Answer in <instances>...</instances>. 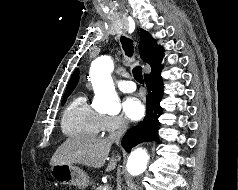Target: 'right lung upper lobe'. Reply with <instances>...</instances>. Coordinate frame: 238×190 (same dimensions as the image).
Masks as SVG:
<instances>
[{"label":"right lung upper lobe","mask_w":238,"mask_h":190,"mask_svg":"<svg viewBox=\"0 0 238 190\" xmlns=\"http://www.w3.org/2000/svg\"><path fill=\"white\" fill-rule=\"evenodd\" d=\"M155 45H156V42L151 37V35L147 31L141 29L139 52H140L141 58L145 62L150 64L151 69H152L151 73H154L162 68L160 62L163 58V48L160 46H156L154 48ZM147 75H149V74H146L145 76H147ZM78 76H79V71L77 69L74 72V74L72 75V77L67 85L65 93H71L74 90V88L76 87L77 82H78Z\"/></svg>","instance_id":"cb5924a9"}]
</instances>
